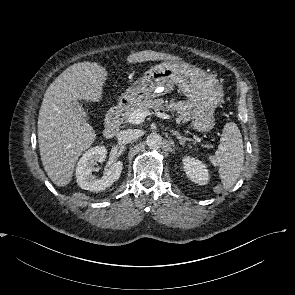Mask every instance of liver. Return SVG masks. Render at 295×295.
Here are the masks:
<instances>
[{
    "mask_svg": "<svg viewBox=\"0 0 295 295\" xmlns=\"http://www.w3.org/2000/svg\"><path fill=\"white\" fill-rule=\"evenodd\" d=\"M179 61L176 56L152 50L127 57L128 63ZM108 73L96 62L75 63L64 70L44 94L38 117V142L44 169L57 186L69 184L75 164L96 138L93 127L75 109L78 100L99 101Z\"/></svg>",
    "mask_w": 295,
    "mask_h": 295,
    "instance_id": "1",
    "label": "liver"
}]
</instances>
